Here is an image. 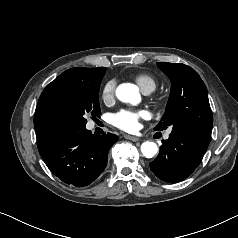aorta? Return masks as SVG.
Here are the masks:
<instances>
[{
    "mask_svg": "<svg viewBox=\"0 0 238 238\" xmlns=\"http://www.w3.org/2000/svg\"><path fill=\"white\" fill-rule=\"evenodd\" d=\"M117 98L125 103L135 104L139 101L140 95L137 87L130 83H124L116 89ZM141 152L144 157L152 158L158 152V146L154 142L146 141L141 145Z\"/></svg>",
    "mask_w": 238,
    "mask_h": 238,
    "instance_id": "obj_1",
    "label": "aorta"
}]
</instances>
